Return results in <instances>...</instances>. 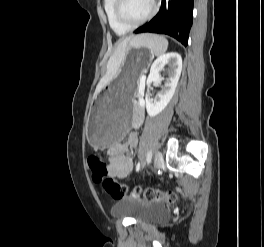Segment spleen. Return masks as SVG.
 Here are the masks:
<instances>
[{
    "label": "spleen",
    "instance_id": "spleen-1",
    "mask_svg": "<svg viewBox=\"0 0 264 247\" xmlns=\"http://www.w3.org/2000/svg\"><path fill=\"white\" fill-rule=\"evenodd\" d=\"M142 44L146 45L157 56L163 54L168 47V41L165 37L152 34L145 35Z\"/></svg>",
    "mask_w": 264,
    "mask_h": 247
}]
</instances>
